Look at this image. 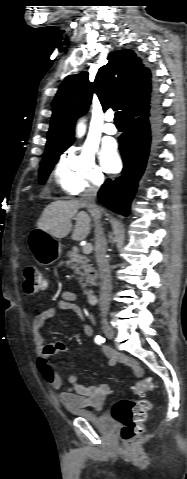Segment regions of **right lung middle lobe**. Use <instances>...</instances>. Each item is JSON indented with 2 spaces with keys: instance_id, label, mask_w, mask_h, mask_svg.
Here are the masks:
<instances>
[{
  "instance_id": "1",
  "label": "right lung middle lobe",
  "mask_w": 187,
  "mask_h": 479,
  "mask_svg": "<svg viewBox=\"0 0 187 479\" xmlns=\"http://www.w3.org/2000/svg\"><path fill=\"white\" fill-rule=\"evenodd\" d=\"M66 148H58V149H51L47 150L44 158L41 163L40 167V177H39V183L44 184L48 175L50 174L52 168L60 158V155L67 149Z\"/></svg>"
}]
</instances>
